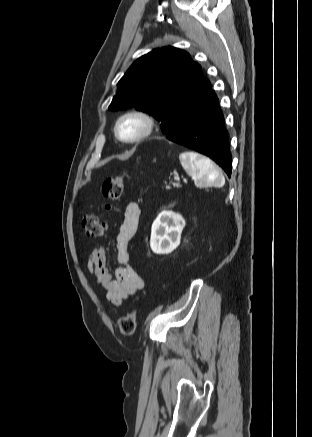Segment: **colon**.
<instances>
[{"label":"colon","mask_w":312,"mask_h":437,"mask_svg":"<svg viewBox=\"0 0 312 437\" xmlns=\"http://www.w3.org/2000/svg\"><path fill=\"white\" fill-rule=\"evenodd\" d=\"M129 178L128 173H123L116 177L107 178L102 185V194L106 199V210L115 212L118 210V202L123 193L124 182ZM81 226L86 235L93 238L102 237L105 235L108 223L100 220L94 214L85 213L81 217ZM137 326V314L130 311L125 316L120 318L118 327L120 333L125 337H130L134 334Z\"/></svg>","instance_id":"obj_1"}]
</instances>
